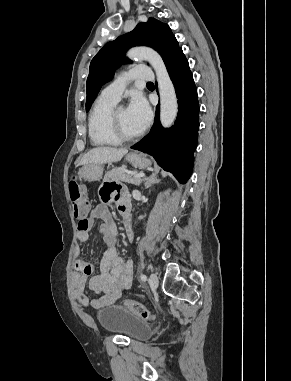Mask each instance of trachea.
<instances>
[{"mask_svg":"<svg viewBox=\"0 0 291 381\" xmlns=\"http://www.w3.org/2000/svg\"><path fill=\"white\" fill-rule=\"evenodd\" d=\"M147 84H152V82H148Z\"/></svg>","mask_w":291,"mask_h":381,"instance_id":"1","label":"trachea"}]
</instances>
